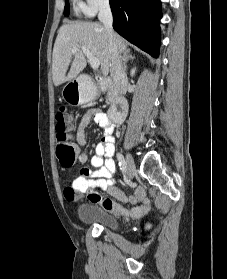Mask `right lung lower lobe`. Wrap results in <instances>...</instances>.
Segmentation results:
<instances>
[{
  "label": "right lung lower lobe",
  "mask_w": 227,
  "mask_h": 279,
  "mask_svg": "<svg viewBox=\"0 0 227 279\" xmlns=\"http://www.w3.org/2000/svg\"><path fill=\"white\" fill-rule=\"evenodd\" d=\"M113 28L153 57L159 56L160 0H110Z\"/></svg>",
  "instance_id": "right-lung-lower-lobe-1"
}]
</instances>
